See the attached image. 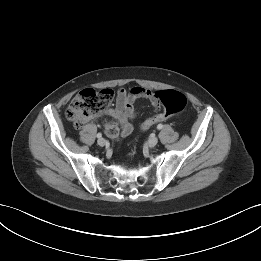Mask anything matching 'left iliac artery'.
Segmentation results:
<instances>
[{
    "label": "left iliac artery",
    "instance_id": "obj_1",
    "mask_svg": "<svg viewBox=\"0 0 261 261\" xmlns=\"http://www.w3.org/2000/svg\"><path fill=\"white\" fill-rule=\"evenodd\" d=\"M163 128V125L162 124H158V126H157V129H162Z\"/></svg>",
    "mask_w": 261,
    "mask_h": 261
}]
</instances>
